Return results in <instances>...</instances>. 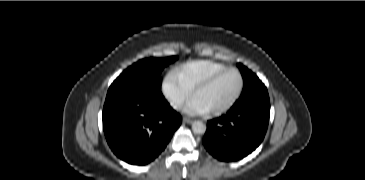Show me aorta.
<instances>
[{"mask_svg":"<svg viewBox=\"0 0 365 180\" xmlns=\"http://www.w3.org/2000/svg\"><path fill=\"white\" fill-rule=\"evenodd\" d=\"M192 131L195 134H204L206 131V125L201 121H194L192 123Z\"/></svg>","mask_w":365,"mask_h":180,"instance_id":"obj_1","label":"aorta"}]
</instances>
